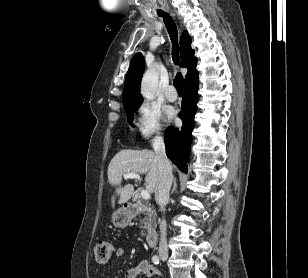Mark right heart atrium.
<instances>
[{"label": "right heart atrium", "mask_w": 308, "mask_h": 278, "mask_svg": "<svg viewBox=\"0 0 308 278\" xmlns=\"http://www.w3.org/2000/svg\"><path fill=\"white\" fill-rule=\"evenodd\" d=\"M135 127L138 134L144 140L160 137L163 132V116L161 111L148 102L142 103L137 109Z\"/></svg>", "instance_id": "obj_1"}]
</instances>
